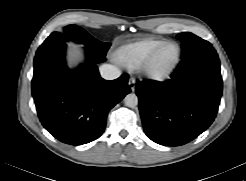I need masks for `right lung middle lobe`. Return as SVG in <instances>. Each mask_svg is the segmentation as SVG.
Instances as JSON below:
<instances>
[{
    "label": "right lung middle lobe",
    "instance_id": "dd1d6c3e",
    "mask_svg": "<svg viewBox=\"0 0 246 181\" xmlns=\"http://www.w3.org/2000/svg\"><path fill=\"white\" fill-rule=\"evenodd\" d=\"M64 32H53L38 48L36 54H39L49 47L65 42L66 40H73L85 46L86 53L94 55L102 60H105L106 52L110 47V43L100 42L91 35H89L83 28L76 25H68L64 27Z\"/></svg>",
    "mask_w": 246,
    "mask_h": 181
}]
</instances>
